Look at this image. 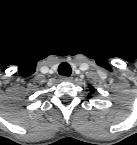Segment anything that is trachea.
Returning <instances> with one entry per match:
<instances>
[{
    "label": "trachea",
    "instance_id": "obj_1",
    "mask_svg": "<svg viewBox=\"0 0 137 145\" xmlns=\"http://www.w3.org/2000/svg\"><path fill=\"white\" fill-rule=\"evenodd\" d=\"M58 73L63 76H70L72 73L71 66L66 62L61 63L58 67Z\"/></svg>",
    "mask_w": 137,
    "mask_h": 145
}]
</instances>
